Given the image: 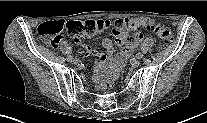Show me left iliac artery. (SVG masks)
<instances>
[{
  "mask_svg": "<svg viewBox=\"0 0 207 123\" xmlns=\"http://www.w3.org/2000/svg\"><path fill=\"white\" fill-rule=\"evenodd\" d=\"M136 57H137V59H142L143 58V54L139 52V53L136 54Z\"/></svg>",
  "mask_w": 207,
  "mask_h": 123,
  "instance_id": "obj_1",
  "label": "left iliac artery"
}]
</instances>
